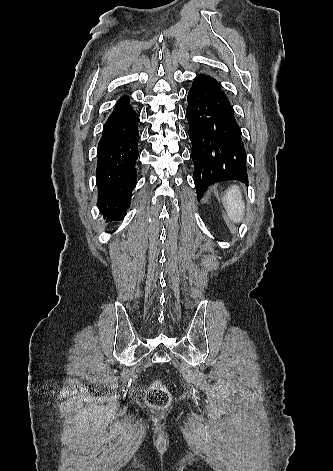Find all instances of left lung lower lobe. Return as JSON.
I'll use <instances>...</instances> for the list:
<instances>
[{
	"mask_svg": "<svg viewBox=\"0 0 333 471\" xmlns=\"http://www.w3.org/2000/svg\"><path fill=\"white\" fill-rule=\"evenodd\" d=\"M187 98L197 198L222 180L248 183L241 130L220 84L208 75H199Z\"/></svg>",
	"mask_w": 333,
	"mask_h": 471,
	"instance_id": "left-lung-lower-lobe-1",
	"label": "left lung lower lobe"
}]
</instances>
